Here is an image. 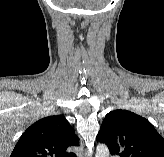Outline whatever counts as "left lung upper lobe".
<instances>
[{"mask_svg":"<svg viewBox=\"0 0 164 157\" xmlns=\"http://www.w3.org/2000/svg\"><path fill=\"white\" fill-rule=\"evenodd\" d=\"M97 140L119 157H164V139L145 118L127 111L109 112Z\"/></svg>","mask_w":164,"mask_h":157,"instance_id":"1","label":"left lung upper lobe"}]
</instances>
